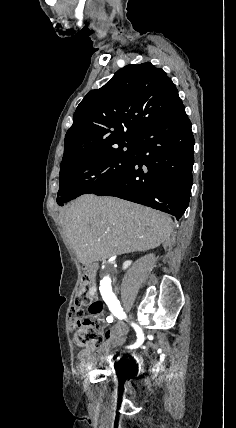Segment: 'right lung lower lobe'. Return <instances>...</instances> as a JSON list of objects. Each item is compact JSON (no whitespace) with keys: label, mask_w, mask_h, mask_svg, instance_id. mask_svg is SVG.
<instances>
[{"label":"right lung lower lobe","mask_w":236,"mask_h":428,"mask_svg":"<svg viewBox=\"0 0 236 428\" xmlns=\"http://www.w3.org/2000/svg\"><path fill=\"white\" fill-rule=\"evenodd\" d=\"M194 137L182 104L134 140V160L110 184L95 192L116 196L181 218L193 183Z\"/></svg>","instance_id":"right-lung-lower-lobe-1"}]
</instances>
